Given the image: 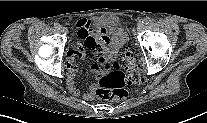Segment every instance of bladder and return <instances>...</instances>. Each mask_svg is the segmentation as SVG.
Instances as JSON below:
<instances>
[{"instance_id": "bladder-1", "label": "bladder", "mask_w": 207, "mask_h": 123, "mask_svg": "<svg viewBox=\"0 0 207 123\" xmlns=\"http://www.w3.org/2000/svg\"><path fill=\"white\" fill-rule=\"evenodd\" d=\"M104 27L107 29L109 34H113L117 29V20L115 18L106 19Z\"/></svg>"}]
</instances>
